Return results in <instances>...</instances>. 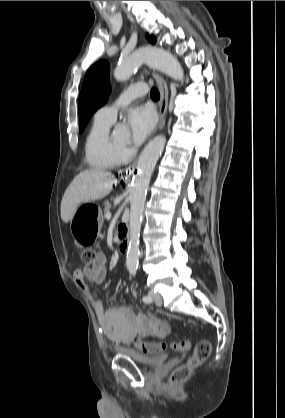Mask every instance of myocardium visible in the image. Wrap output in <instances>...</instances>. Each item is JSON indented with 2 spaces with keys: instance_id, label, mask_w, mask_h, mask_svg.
<instances>
[{
  "instance_id": "f54148a6",
  "label": "myocardium",
  "mask_w": 285,
  "mask_h": 418,
  "mask_svg": "<svg viewBox=\"0 0 285 418\" xmlns=\"http://www.w3.org/2000/svg\"><path fill=\"white\" fill-rule=\"evenodd\" d=\"M107 141H108V144L111 146V148L117 153V154H119V155H121V156H124V149H125V147L124 146H118V145H116L114 142H113V140H112V135L111 134H108V136H107Z\"/></svg>"
}]
</instances>
